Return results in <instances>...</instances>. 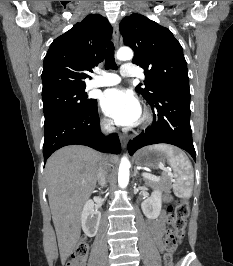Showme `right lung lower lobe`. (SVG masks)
Returning <instances> with one entry per match:
<instances>
[{"mask_svg":"<svg viewBox=\"0 0 233 266\" xmlns=\"http://www.w3.org/2000/svg\"><path fill=\"white\" fill-rule=\"evenodd\" d=\"M44 163L57 149L72 144H81L98 151L119 154L121 145L116 133L105 137L100 132L97 101L86 111L64 114L44 124Z\"/></svg>","mask_w":233,"mask_h":266,"instance_id":"98d812e1","label":"right lung lower lobe"}]
</instances>
